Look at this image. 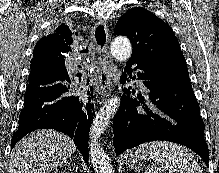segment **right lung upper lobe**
Returning <instances> with one entry per match:
<instances>
[{
	"instance_id": "right-lung-upper-lobe-1",
	"label": "right lung upper lobe",
	"mask_w": 219,
	"mask_h": 173,
	"mask_svg": "<svg viewBox=\"0 0 219 173\" xmlns=\"http://www.w3.org/2000/svg\"><path fill=\"white\" fill-rule=\"evenodd\" d=\"M71 36L69 27L62 24L56 29V33L42 37L34 47L30 68L36 69L43 65L64 66L65 57L71 51Z\"/></svg>"
}]
</instances>
